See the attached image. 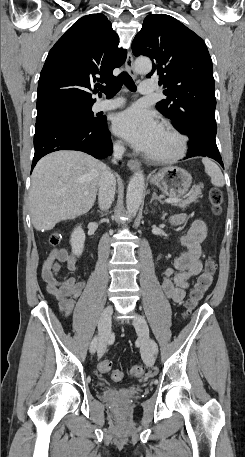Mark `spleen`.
<instances>
[{"label":"spleen","instance_id":"3e777b00","mask_svg":"<svg viewBox=\"0 0 245 457\" xmlns=\"http://www.w3.org/2000/svg\"><path fill=\"white\" fill-rule=\"evenodd\" d=\"M202 162L205 166V172L211 176V182L212 184H215V186H223L225 184V178L216 162H213L211 158H207V156H204L202 158Z\"/></svg>","mask_w":245,"mask_h":457}]
</instances>
